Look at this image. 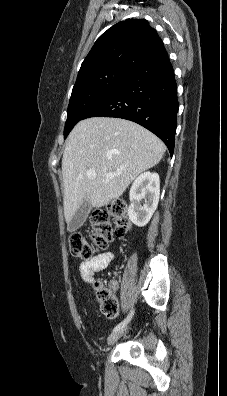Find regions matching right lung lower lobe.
I'll use <instances>...</instances> for the list:
<instances>
[{
	"label": "right lung lower lobe",
	"instance_id": "98d812e1",
	"mask_svg": "<svg viewBox=\"0 0 227 396\" xmlns=\"http://www.w3.org/2000/svg\"><path fill=\"white\" fill-rule=\"evenodd\" d=\"M179 104L174 70L164 49L146 59L83 117H117L140 124L174 151Z\"/></svg>",
	"mask_w": 227,
	"mask_h": 396
}]
</instances>
